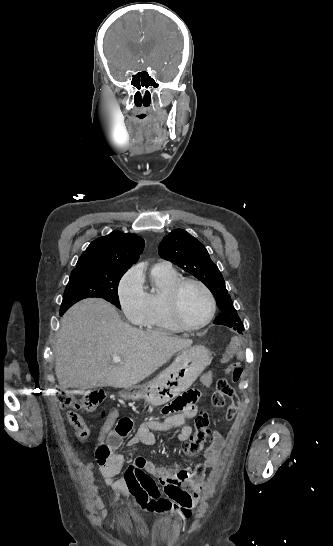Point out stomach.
Instances as JSON below:
<instances>
[{
  "instance_id": "1",
  "label": "stomach",
  "mask_w": 333,
  "mask_h": 546,
  "mask_svg": "<svg viewBox=\"0 0 333 546\" xmlns=\"http://www.w3.org/2000/svg\"><path fill=\"white\" fill-rule=\"evenodd\" d=\"M212 354L205 346L197 345L181 351L174 362L153 381L126 387L119 396L126 400H146L159 406L187 390L211 363Z\"/></svg>"
}]
</instances>
